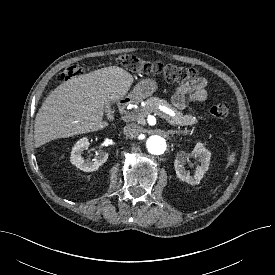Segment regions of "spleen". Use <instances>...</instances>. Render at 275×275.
Segmentation results:
<instances>
[{
	"label": "spleen",
	"instance_id": "obj_1",
	"mask_svg": "<svg viewBox=\"0 0 275 275\" xmlns=\"http://www.w3.org/2000/svg\"><path fill=\"white\" fill-rule=\"evenodd\" d=\"M234 161H235V154L232 153L228 156V163L231 165L234 163Z\"/></svg>",
	"mask_w": 275,
	"mask_h": 275
}]
</instances>
